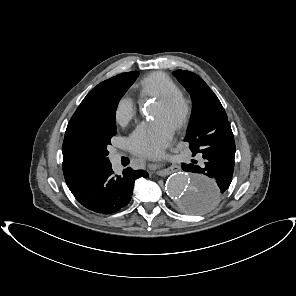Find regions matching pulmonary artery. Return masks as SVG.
Here are the masks:
<instances>
[{
  "label": "pulmonary artery",
  "mask_w": 296,
  "mask_h": 296,
  "mask_svg": "<svg viewBox=\"0 0 296 296\" xmlns=\"http://www.w3.org/2000/svg\"><path fill=\"white\" fill-rule=\"evenodd\" d=\"M114 159L117 161L119 159V156L118 155H115L114 156Z\"/></svg>",
  "instance_id": "1"
}]
</instances>
